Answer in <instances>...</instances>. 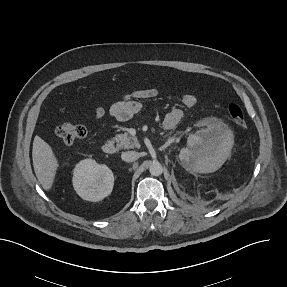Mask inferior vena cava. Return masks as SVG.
Returning a JSON list of instances; mask_svg holds the SVG:
<instances>
[{"mask_svg": "<svg viewBox=\"0 0 287 287\" xmlns=\"http://www.w3.org/2000/svg\"><path fill=\"white\" fill-rule=\"evenodd\" d=\"M121 158L126 162H133L139 158V153L135 151L123 152Z\"/></svg>", "mask_w": 287, "mask_h": 287, "instance_id": "602c4592", "label": "inferior vena cava"}]
</instances>
